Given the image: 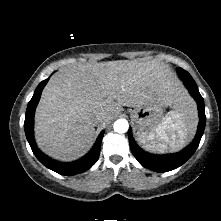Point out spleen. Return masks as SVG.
<instances>
[{"instance_id":"obj_1","label":"spleen","mask_w":221,"mask_h":221,"mask_svg":"<svg viewBox=\"0 0 221 221\" xmlns=\"http://www.w3.org/2000/svg\"><path fill=\"white\" fill-rule=\"evenodd\" d=\"M196 123L194 108L187 111H170L156 130L159 142L153 141L155 138L153 134L149 136L137 134V140L145 149L153 152H174L183 148L192 138ZM149 140L152 142L149 143Z\"/></svg>"}]
</instances>
